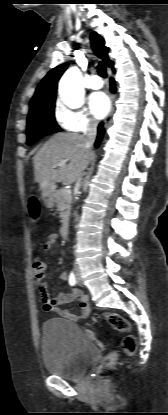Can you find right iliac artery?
Listing matches in <instances>:
<instances>
[{
	"mask_svg": "<svg viewBox=\"0 0 168 415\" xmlns=\"http://www.w3.org/2000/svg\"><path fill=\"white\" fill-rule=\"evenodd\" d=\"M69 283H70V285H71V286H74V285L77 283L76 276L74 275V273H73V272H72V273H70V276H69Z\"/></svg>",
	"mask_w": 168,
	"mask_h": 415,
	"instance_id": "82829eb1",
	"label": "right iliac artery"
}]
</instances>
